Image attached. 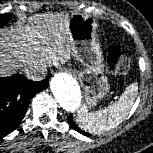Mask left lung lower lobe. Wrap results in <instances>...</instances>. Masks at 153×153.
I'll list each match as a JSON object with an SVG mask.
<instances>
[{
  "label": "left lung lower lobe",
  "instance_id": "obj_1",
  "mask_svg": "<svg viewBox=\"0 0 153 153\" xmlns=\"http://www.w3.org/2000/svg\"><path fill=\"white\" fill-rule=\"evenodd\" d=\"M68 122L70 123V125L79 133L83 134V135H89L88 133L82 131L81 129H79V127H77V125L73 122L72 120V116L68 117Z\"/></svg>",
  "mask_w": 153,
  "mask_h": 153
}]
</instances>
